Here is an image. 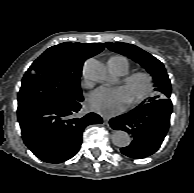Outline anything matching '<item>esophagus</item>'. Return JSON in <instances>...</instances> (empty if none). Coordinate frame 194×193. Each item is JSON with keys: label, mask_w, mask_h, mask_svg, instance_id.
I'll return each mask as SVG.
<instances>
[{"label": "esophagus", "mask_w": 194, "mask_h": 193, "mask_svg": "<svg viewBox=\"0 0 194 193\" xmlns=\"http://www.w3.org/2000/svg\"><path fill=\"white\" fill-rule=\"evenodd\" d=\"M109 119H110L109 117L104 116L103 117L104 124L109 125Z\"/></svg>", "instance_id": "34e87169"}]
</instances>
